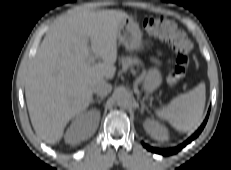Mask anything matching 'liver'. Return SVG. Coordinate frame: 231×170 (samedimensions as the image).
<instances>
[{
    "instance_id": "obj_1",
    "label": "liver",
    "mask_w": 231,
    "mask_h": 170,
    "mask_svg": "<svg viewBox=\"0 0 231 170\" xmlns=\"http://www.w3.org/2000/svg\"><path fill=\"white\" fill-rule=\"evenodd\" d=\"M127 18L123 11L78 6L52 24L25 79L31 123L46 143L59 142L69 121L91 103L94 85L114 77L118 26ZM89 42L102 62H88Z\"/></svg>"
}]
</instances>
